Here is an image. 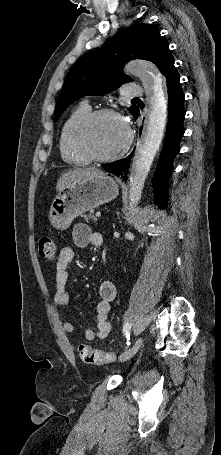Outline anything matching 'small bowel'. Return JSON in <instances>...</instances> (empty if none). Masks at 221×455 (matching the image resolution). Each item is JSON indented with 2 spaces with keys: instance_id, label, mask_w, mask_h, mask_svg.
Wrapping results in <instances>:
<instances>
[{
  "instance_id": "obj_1",
  "label": "small bowel",
  "mask_w": 221,
  "mask_h": 455,
  "mask_svg": "<svg viewBox=\"0 0 221 455\" xmlns=\"http://www.w3.org/2000/svg\"><path fill=\"white\" fill-rule=\"evenodd\" d=\"M72 237L74 244L79 248H83L87 245L99 246V243L103 241V237L100 233L93 232L85 225H77L73 230ZM74 257L75 251L70 246L63 247L59 252L56 263L54 294V303L58 306H64L70 302V294L66 287L69 278V267L73 262ZM98 292L100 300L96 305V329L85 330L84 338L87 341H93L95 339L104 340L109 336L112 330L108 317L111 309V302L116 297V287L111 281H102L99 285ZM62 327L67 333H74V326L71 322L63 321Z\"/></svg>"
}]
</instances>
